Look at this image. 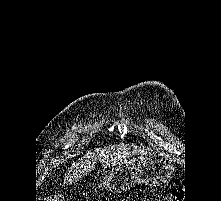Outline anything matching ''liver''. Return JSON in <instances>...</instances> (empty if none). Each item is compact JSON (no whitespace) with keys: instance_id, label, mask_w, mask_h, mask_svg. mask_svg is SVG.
<instances>
[{"instance_id":"1","label":"liver","mask_w":221,"mask_h":201,"mask_svg":"<svg viewBox=\"0 0 221 201\" xmlns=\"http://www.w3.org/2000/svg\"><path fill=\"white\" fill-rule=\"evenodd\" d=\"M149 155H151L149 149L129 146L123 143L96 149L87 153L69 168L65 175L64 184L76 182L91 172L97 162H100L105 167L118 166L132 163Z\"/></svg>"}]
</instances>
